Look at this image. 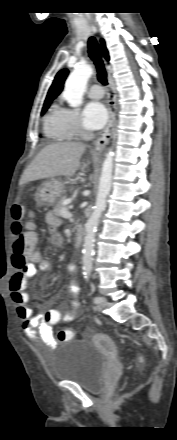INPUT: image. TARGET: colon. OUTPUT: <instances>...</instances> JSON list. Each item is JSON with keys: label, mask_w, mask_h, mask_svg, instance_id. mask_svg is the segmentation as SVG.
<instances>
[{"label": "colon", "mask_w": 177, "mask_h": 440, "mask_svg": "<svg viewBox=\"0 0 177 440\" xmlns=\"http://www.w3.org/2000/svg\"><path fill=\"white\" fill-rule=\"evenodd\" d=\"M27 213L21 203L12 207V263L16 268H25L36 254L37 235L32 222L26 220ZM74 337L71 329H62L57 333L60 342L72 340Z\"/></svg>", "instance_id": "5ec220e1"}]
</instances>
